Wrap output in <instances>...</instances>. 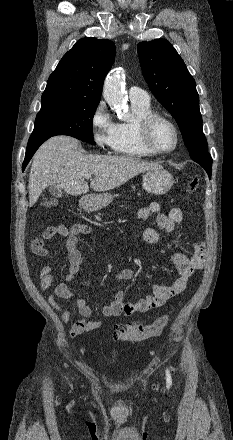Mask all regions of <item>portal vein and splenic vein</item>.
Returning a JSON list of instances; mask_svg holds the SVG:
<instances>
[{
	"label": "portal vein and splenic vein",
	"instance_id": "18ae733b",
	"mask_svg": "<svg viewBox=\"0 0 233 440\" xmlns=\"http://www.w3.org/2000/svg\"><path fill=\"white\" fill-rule=\"evenodd\" d=\"M84 177H85L86 179H90V178H91V174H90V173H86V174L84 175Z\"/></svg>",
	"mask_w": 233,
	"mask_h": 440
}]
</instances>
